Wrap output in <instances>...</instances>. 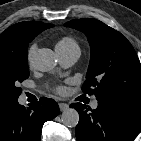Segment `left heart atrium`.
<instances>
[{
    "label": "left heart atrium",
    "mask_w": 141,
    "mask_h": 141,
    "mask_svg": "<svg viewBox=\"0 0 141 141\" xmlns=\"http://www.w3.org/2000/svg\"><path fill=\"white\" fill-rule=\"evenodd\" d=\"M56 91H57L58 93H63V92H64V88H63V87H57V88H56Z\"/></svg>",
    "instance_id": "left-heart-atrium-1"
}]
</instances>
